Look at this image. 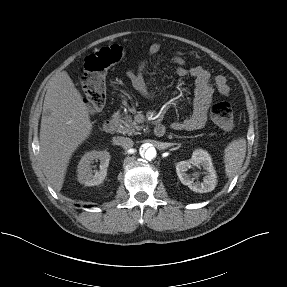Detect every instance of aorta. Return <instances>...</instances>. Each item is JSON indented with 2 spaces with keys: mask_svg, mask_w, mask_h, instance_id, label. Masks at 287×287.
Segmentation results:
<instances>
[{
  "mask_svg": "<svg viewBox=\"0 0 287 287\" xmlns=\"http://www.w3.org/2000/svg\"><path fill=\"white\" fill-rule=\"evenodd\" d=\"M140 154L144 159L151 161L156 157L157 152L152 144L144 143L140 147Z\"/></svg>",
  "mask_w": 287,
  "mask_h": 287,
  "instance_id": "aorta-1",
  "label": "aorta"
}]
</instances>
